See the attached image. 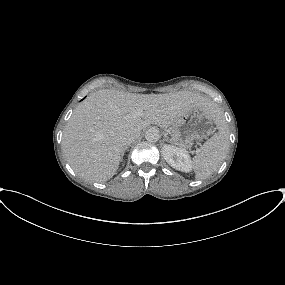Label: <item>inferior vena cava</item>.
<instances>
[{"mask_svg":"<svg viewBox=\"0 0 285 285\" xmlns=\"http://www.w3.org/2000/svg\"><path fill=\"white\" fill-rule=\"evenodd\" d=\"M139 136H140V134H137V133H127L121 137V142H122L123 146L127 147L134 140H136Z\"/></svg>","mask_w":285,"mask_h":285,"instance_id":"inferior-vena-cava-1","label":"inferior vena cava"}]
</instances>
